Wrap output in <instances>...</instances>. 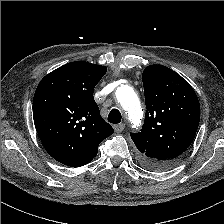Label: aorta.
Listing matches in <instances>:
<instances>
[{
  "instance_id": "762f6f07",
  "label": "aorta",
  "mask_w": 224,
  "mask_h": 224,
  "mask_svg": "<svg viewBox=\"0 0 224 224\" xmlns=\"http://www.w3.org/2000/svg\"><path fill=\"white\" fill-rule=\"evenodd\" d=\"M118 102L125 111L133 128H136L141 123L143 112L137 94L132 87L121 85L116 91Z\"/></svg>"
}]
</instances>
